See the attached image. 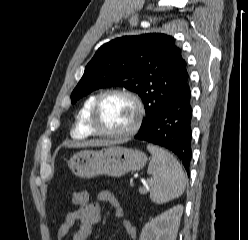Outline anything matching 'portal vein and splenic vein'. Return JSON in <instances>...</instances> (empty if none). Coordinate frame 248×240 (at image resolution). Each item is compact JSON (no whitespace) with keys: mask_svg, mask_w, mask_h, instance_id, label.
I'll use <instances>...</instances> for the list:
<instances>
[{"mask_svg":"<svg viewBox=\"0 0 248 240\" xmlns=\"http://www.w3.org/2000/svg\"><path fill=\"white\" fill-rule=\"evenodd\" d=\"M148 191V188L147 187H141V188H139V192L140 193H146Z\"/></svg>","mask_w":248,"mask_h":240,"instance_id":"obj_1","label":"portal vein and splenic vein"}]
</instances>
